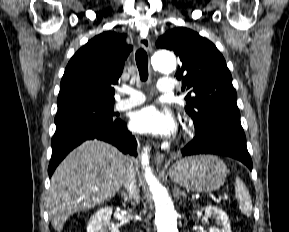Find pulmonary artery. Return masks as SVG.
Wrapping results in <instances>:
<instances>
[{
  "label": "pulmonary artery",
  "mask_w": 289,
  "mask_h": 232,
  "mask_svg": "<svg viewBox=\"0 0 289 232\" xmlns=\"http://www.w3.org/2000/svg\"><path fill=\"white\" fill-rule=\"evenodd\" d=\"M158 91L164 94H169L174 91L175 85L174 81L170 78H161L157 83ZM123 92L128 94L129 97L125 99H120L115 104V109L122 111L127 110L137 105H140L145 101V96L133 89V88H124Z\"/></svg>",
  "instance_id": "1"
}]
</instances>
